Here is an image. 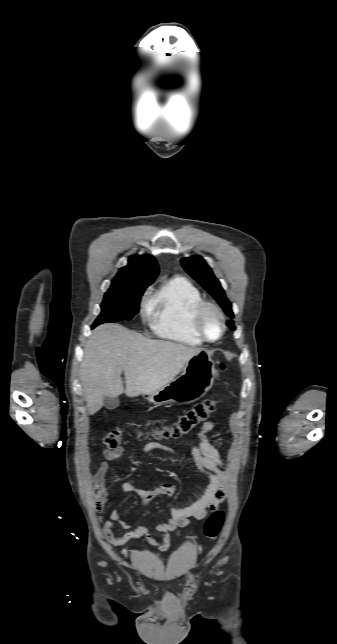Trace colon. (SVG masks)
Instances as JSON below:
<instances>
[{"label": "colon", "mask_w": 337, "mask_h": 644, "mask_svg": "<svg viewBox=\"0 0 337 644\" xmlns=\"http://www.w3.org/2000/svg\"><path fill=\"white\" fill-rule=\"evenodd\" d=\"M225 368L224 365L221 366ZM216 409L214 400H206L197 404L193 409L179 417L175 422L164 425L156 429L152 435L157 439H176L189 434L199 424L206 421L212 412ZM122 439L119 429H113L108 432L104 438V443L109 449L117 448ZM224 512L215 511L206 520L203 528L204 536L210 540L215 539L224 523Z\"/></svg>", "instance_id": "colon-1"}]
</instances>
